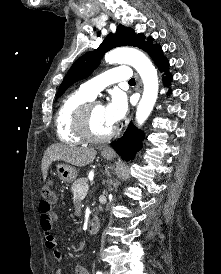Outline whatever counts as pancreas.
I'll return each mask as SVG.
<instances>
[{
	"mask_svg": "<svg viewBox=\"0 0 221 274\" xmlns=\"http://www.w3.org/2000/svg\"><path fill=\"white\" fill-rule=\"evenodd\" d=\"M88 186V179L87 178H80L77 179L73 185H72V192L74 193L75 196L79 195V191L81 188Z\"/></svg>",
	"mask_w": 221,
	"mask_h": 274,
	"instance_id": "pancreas-1",
	"label": "pancreas"
}]
</instances>
